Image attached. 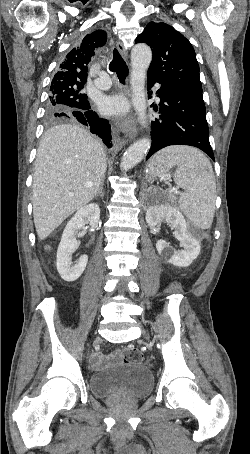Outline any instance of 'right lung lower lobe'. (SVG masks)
<instances>
[{
	"mask_svg": "<svg viewBox=\"0 0 250 454\" xmlns=\"http://www.w3.org/2000/svg\"><path fill=\"white\" fill-rule=\"evenodd\" d=\"M63 119L71 118L90 128V131L98 135L103 143L110 148L112 146V131L107 120L98 117L96 112L90 110V105L74 109L70 113L59 114Z\"/></svg>",
	"mask_w": 250,
	"mask_h": 454,
	"instance_id": "98d812e1",
	"label": "right lung lower lobe"
}]
</instances>
